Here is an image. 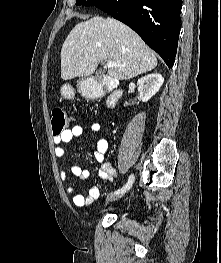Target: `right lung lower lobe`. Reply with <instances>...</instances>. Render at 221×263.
<instances>
[{
  "instance_id": "obj_1",
  "label": "right lung lower lobe",
  "mask_w": 221,
  "mask_h": 263,
  "mask_svg": "<svg viewBox=\"0 0 221 263\" xmlns=\"http://www.w3.org/2000/svg\"><path fill=\"white\" fill-rule=\"evenodd\" d=\"M182 0H102L96 7L132 28L172 68Z\"/></svg>"
}]
</instances>
